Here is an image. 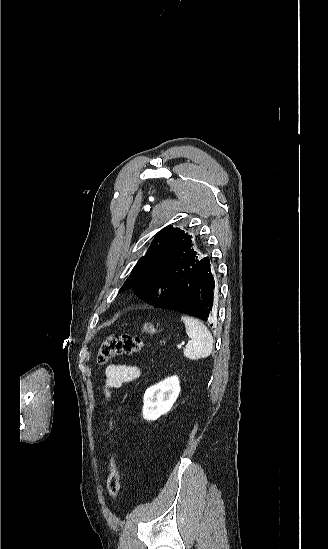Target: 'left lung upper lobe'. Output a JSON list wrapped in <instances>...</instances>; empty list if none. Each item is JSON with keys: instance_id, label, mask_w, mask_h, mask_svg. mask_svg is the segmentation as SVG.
Wrapping results in <instances>:
<instances>
[{"instance_id": "5c2ea615", "label": "left lung upper lobe", "mask_w": 328, "mask_h": 549, "mask_svg": "<svg viewBox=\"0 0 328 549\" xmlns=\"http://www.w3.org/2000/svg\"><path fill=\"white\" fill-rule=\"evenodd\" d=\"M192 236L167 226L158 232L146 255L139 259L121 291L133 288L139 297L154 305L169 297L179 280L199 261Z\"/></svg>"}]
</instances>
